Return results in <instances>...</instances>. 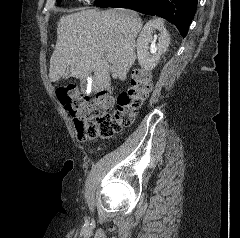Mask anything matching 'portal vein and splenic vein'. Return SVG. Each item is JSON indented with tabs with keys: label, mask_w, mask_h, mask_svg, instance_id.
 Wrapping results in <instances>:
<instances>
[{
	"label": "portal vein and splenic vein",
	"mask_w": 240,
	"mask_h": 238,
	"mask_svg": "<svg viewBox=\"0 0 240 238\" xmlns=\"http://www.w3.org/2000/svg\"><path fill=\"white\" fill-rule=\"evenodd\" d=\"M105 60H106V62H109V63L111 62V59L108 55L105 56Z\"/></svg>",
	"instance_id": "obj_1"
}]
</instances>
